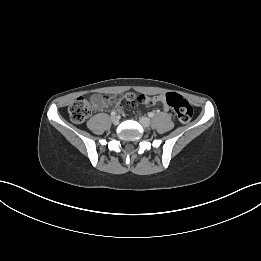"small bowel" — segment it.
<instances>
[{"label": "small bowel", "instance_id": "1", "mask_svg": "<svg viewBox=\"0 0 261 261\" xmlns=\"http://www.w3.org/2000/svg\"><path fill=\"white\" fill-rule=\"evenodd\" d=\"M125 100H126V102L130 103L131 106H133V107H142V106L155 107V106H157V104H160L163 111L168 112L170 109L165 101V95H162V94H158V95L149 97L144 93H139V94L135 95V93H133V92H128L125 95ZM91 101H92L93 107L98 111H103L109 105H112L115 108H117L118 110H120L119 101L117 98L107 101L104 99L103 96L96 94V95L92 96Z\"/></svg>", "mask_w": 261, "mask_h": 261}]
</instances>
